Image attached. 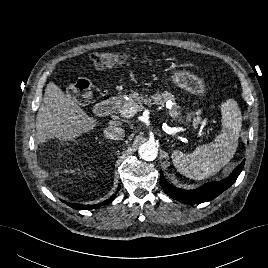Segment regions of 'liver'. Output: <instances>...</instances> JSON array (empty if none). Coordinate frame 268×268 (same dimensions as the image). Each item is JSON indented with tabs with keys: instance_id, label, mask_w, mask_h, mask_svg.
I'll return each instance as SVG.
<instances>
[{
	"instance_id": "1",
	"label": "liver",
	"mask_w": 268,
	"mask_h": 268,
	"mask_svg": "<svg viewBox=\"0 0 268 268\" xmlns=\"http://www.w3.org/2000/svg\"><path fill=\"white\" fill-rule=\"evenodd\" d=\"M100 124L97 119L88 116L71 95L50 82L36 116V145L50 139L74 141ZM110 124L116 122L110 121Z\"/></svg>"
}]
</instances>
